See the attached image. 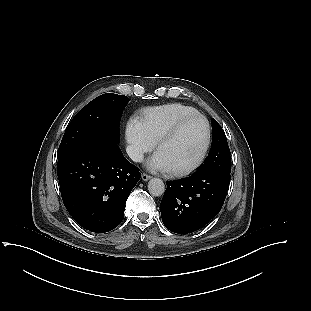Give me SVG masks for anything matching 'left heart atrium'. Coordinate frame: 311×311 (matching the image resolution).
<instances>
[{
	"label": "left heart atrium",
	"mask_w": 311,
	"mask_h": 311,
	"mask_svg": "<svg viewBox=\"0 0 311 311\" xmlns=\"http://www.w3.org/2000/svg\"><path fill=\"white\" fill-rule=\"evenodd\" d=\"M149 170L153 172H167L170 168L162 154L157 151L146 163Z\"/></svg>",
	"instance_id": "obj_1"
}]
</instances>
